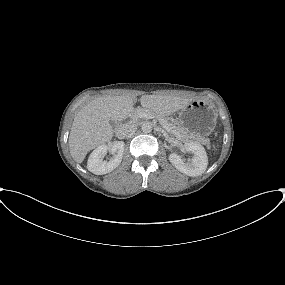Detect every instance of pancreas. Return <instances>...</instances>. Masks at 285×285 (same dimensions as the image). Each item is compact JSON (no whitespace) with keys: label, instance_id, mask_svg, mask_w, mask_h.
<instances>
[{"label":"pancreas","instance_id":"obj_1","mask_svg":"<svg viewBox=\"0 0 285 285\" xmlns=\"http://www.w3.org/2000/svg\"><path fill=\"white\" fill-rule=\"evenodd\" d=\"M141 112L150 113L153 116L157 117L159 121H163L164 123H166L170 128V131H168L170 134H173L175 136L179 135V137L182 139L189 137V135L185 132V130L178 124V122L175 119L164 117L162 115H157L153 111H150V110L141 111ZM139 113L140 112L137 111L134 115V118H136ZM194 140L195 142H200L202 144L209 145L208 139L200 137V138H194Z\"/></svg>","mask_w":285,"mask_h":285}]
</instances>
